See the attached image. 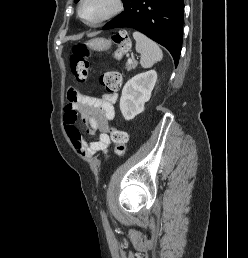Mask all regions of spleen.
Instances as JSON below:
<instances>
[{"label": "spleen", "mask_w": 248, "mask_h": 258, "mask_svg": "<svg viewBox=\"0 0 248 258\" xmlns=\"http://www.w3.org/2000/svg\"><path fill=\"white\" fill-rule=\"evenodd\" d=\"M133 38L136 41V51L141 54L140 64L143 68H150L162 60V50L154 41L138 31L133 32Z\"/></svg>", "instance_id": "1"}]
</instances>
